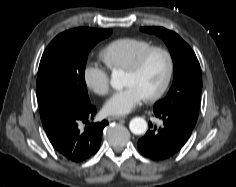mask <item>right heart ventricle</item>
<instances>
[{
  "instance_id": "right-heart-ventricle-1",
  "label": "right heart ventricle",
  "mask_w": 236,
  "mask_h": 187,
  "mask_svg": "<svg viewBox=\"0 0 236 187\" xmlns=\"http://www.w3.org/2000/svg\"><path fill=\"white\" fill-rule=\"evenodd\" d=\"M151 47L152 44L143 39L119 38L107 44L99 56L111 70H126L138 55Z\"/></svg>"
}]
</instances>
